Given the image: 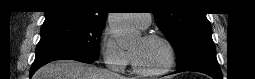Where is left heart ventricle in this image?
<instances>
[{
    "mask_svg": "<svg viewBox=\"0 0 255 79\" xmlns=\"http://www.w3.org/2000/svg\"><path fill=\"white\" fill-rule=\"evenodd\" d=\"M130 51L138 65L147 71L161 69L168 59L167 47L159 40L148 41L141 38Z\"/></svg>",
    "mask_w": 255,
    "mask_h": 79,
    "instance_id": "left-heart-ventricle-1",
    "label": "left heart ventricle"
}]
</instances>
